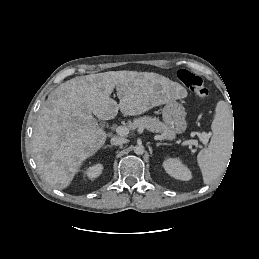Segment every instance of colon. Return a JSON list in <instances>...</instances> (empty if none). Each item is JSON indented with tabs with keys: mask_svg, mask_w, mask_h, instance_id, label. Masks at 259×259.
Masks as SVG:
<instances>
[{
	"mask_svg": "<svg viewBox=\"0 0 259 259\" xmlns=\"http://www.w3.org/2000/svg\"><path fill=\"white\" fill-rule=\"evenodd\" d=\"M178 79L201 100H206L209 95L208 89L204 85L203 79L187 69H180L177 72Z\"/></svg>",
	"mask_w": 259,
	"mask_h": 259,
	"instance_id": "obj_1",
	"label": "colon"
}]
</instances>
